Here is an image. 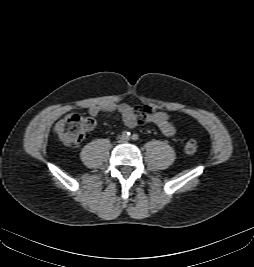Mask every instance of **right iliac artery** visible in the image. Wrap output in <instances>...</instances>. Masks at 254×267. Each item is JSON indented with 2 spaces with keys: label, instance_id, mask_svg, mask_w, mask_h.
<instances>
[{
  "label": "right iliac artery",
  "instance_id": "82829eb1",
  "mask_svg": "<svg viewBox=\"0 0 254 267\" xmlns=\"http://www.w3.org/2000/svg\"><path fill=\"white\" fill-rule=\"evenodd\" d=\"M131 133L128 132V131H123L122 132V137L125 138V139H128L130 137Z\"/></svg>",
  "mask_w": 254,
  "mask_h": 267
}]
</instances>
